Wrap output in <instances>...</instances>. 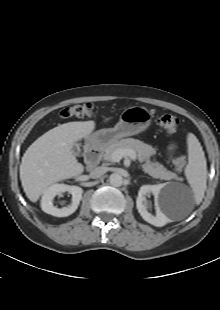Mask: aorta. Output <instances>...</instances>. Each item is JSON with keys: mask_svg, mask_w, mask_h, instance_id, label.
Returning a JSON list of instances; mask_svg holds the SVG:
<instances>
[{"mask_svg": "<svg viewBox=\"0 0 220 310\" xmlns=\"http://www.w3.org/2000/svg\"><path fill=\"white\" fill-rule=\"evenodd\" d=\"M109 182L114 187H120L123 184V177L118 173H112Z\"/></svg>", "mask_w": 220, "mask_h": 310, "instance_id": "762f6f07", "label": "aorta"}]
</instances>
